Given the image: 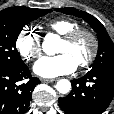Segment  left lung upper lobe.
<instances>
[{
  "mask_svg": "<svg viewBox=\"0 0 114 114\" xmlns=\"http://www.w3.org/2000/svg\"><path fill=\"white\" fill-rule=\"evenodd\" d=\"M56 11L83 18L97 33L99 48L90 71L114 68V45L104 26L92 15L75 8H57Z\"/></svg>",
  "mask_w": 114,
  "mask_h": 114,
  "instance_id": "obj_1",
  "label": "left lung upper lobe"
}]
</instances>
